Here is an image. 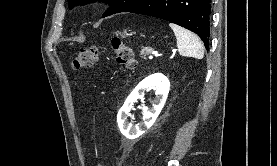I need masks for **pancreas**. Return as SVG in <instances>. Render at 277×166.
<instances>
[{
	"mask_svg": "<svg viewBox=\"0 0 277 166\" xmlns=\"http://www.w3.org/2000/svg\"><path fill=\"white\" fill-rule=\"evenodd\" d=\"M153 49L151 47H142L140 51V56L145 58L148 53H150Z\"/></svg>",
	"mask_w": 277,
	"mask_h": 166,
	"instance_id": "obj_1",
	"label": "pancreas"
}]
</instances>
